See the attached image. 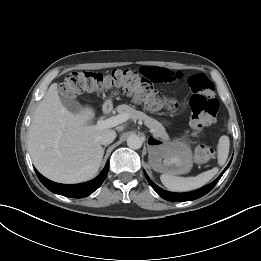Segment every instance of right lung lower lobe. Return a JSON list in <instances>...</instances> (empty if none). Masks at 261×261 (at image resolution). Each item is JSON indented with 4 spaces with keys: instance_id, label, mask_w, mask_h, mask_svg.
<instances>
[{
    "instance_id": "98d812e1",
    "label": "right lung lower lobe",
    "mask_w": 261,
    "mask_h": 261,
    "mask_svg": "<svg viewBox=\"0 0 261 261\" xmlns=\"http://www.w3.org/2000/svg\"><path fill=\"white\" fill-rule=\"evenodd\" d=\"M108 169L109 162H107L103 171L95 179L86 183L75 185L55 183L43 177L36 169L35 172L42 184L53 193L60 194L66 197L83 198L93 193L103 183L108 173Z\"/></svg>"
}]
</instances>
